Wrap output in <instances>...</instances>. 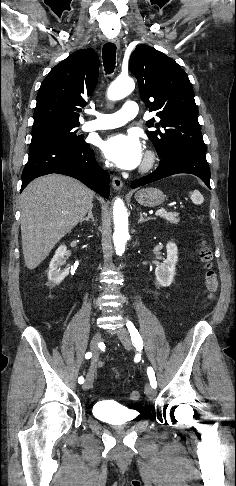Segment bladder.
<instances>
[{
  "label": "bladder",
  "instance_id": "1",
  "mask_svg": "<svg viewBox=\"0 0 236 486\" xmlns=\"http://www.w3.org/2000/svg\"><path fill=\"white\" fill-rule=\"evenodd\" d=\"M93 415L113 425H124L137 419L138 413L113 401L102 400L93 405Z\"/></svg>",
  "mask_w": 236,
  "mask_h": 486
}]
</instances>
